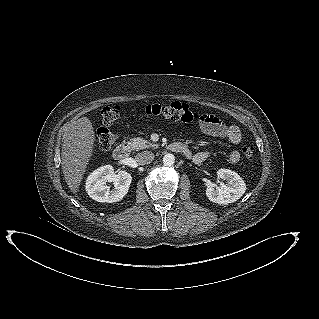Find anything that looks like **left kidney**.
I'll return each instance as SVG.
<instances>
[{
    "label": "left kidney",
    "mask_w": 319,
    "mask_h": 319,
    "mask_svg": "<svg viewBox=\"0 0 319 319\" xmlns=\"http://www.w3.org/2000/svg\"><path fill=\"white\" fill-rule=\"evenodd\" d=\"M217 176L221 180H226L219 187L208 186L206 195L208 199L217 204H229L240 199L246 191V184L242 178L229 169H219Z\"/></svg>",
    "instance_id": "obj_1"
}]
</instances>
